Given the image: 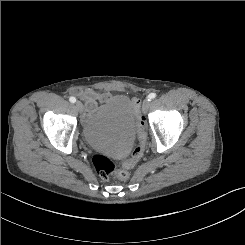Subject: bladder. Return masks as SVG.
Returning a JSON list of instances; mask_svg holds the SVG:
<instances>
[{"label":"bladder","mask_w":245,"mask_h":245,"mask_svg":"<svg viewBox=\"0 0 245 245\" xmlns=\"http://www.w3.org/2000/svg\"><path fill=\"white\" fill-rule=\"evenodd\" d=\"M135 107L127 95H116L83 124V137L92 148L124 156L135 140Z\"/></svg>","instance_id":"1"}]
</instances>
